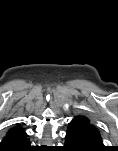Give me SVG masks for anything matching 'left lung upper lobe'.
I'll use <instances>...</instances> for the list:
<instances>
[{
    "label": "left lung upper lobe",
    "mask_w": 118,
    "mask_h": 151,
    "mask_svg": "<svg viewBox=\"0 0 118 151\" xmlns=\"http://www.w3.org/2000/svg\"><path fill=\"white\" fill-rule=\"evenodd\" d=\"M68 128H73L84 135L93 146L104 149L99 130L85 116H77L70 123Z\"/></svg>",
    "instance_id": "1"
}]
</instances>
